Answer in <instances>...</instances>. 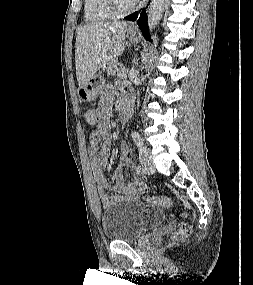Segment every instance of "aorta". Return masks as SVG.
Returning <instances> with one entry per match:
<instances>
[{
    "instance_id": "1",
    "label": "aorta",
    "mask_w": 253,
    "mask_h": 285,
    "mask_svg": "<svg viewBox=\"0 0 253 285\" xmlns=\"http://www.w3.org/2000/svg\"><path fill=\"white\" fill-rule=\"evenodd\" d=\"M169 0H152L148 9L147 22L150 32L159 24Z\"/></svg>"
}]
</instances>
